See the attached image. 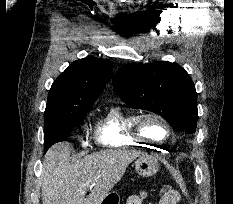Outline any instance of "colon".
I'll use <instances>...</instances> for the list:
<instances>
[{
	"mask_svg": "<svg viewBox=\"0 0 233 204\" xmlns=\"http://www.w3.org/2000/svg\"><path fill=\"white\" fill-rule=\"evenodd\" d=\"M179 200V192L171 185H164L161 188L159 204H178Z\"/></svg>",
	"mask_w": 233,
	"mask_h": 204,
	"instance_id": "obj_1",
	"label": "colon"
}]
</instances>
